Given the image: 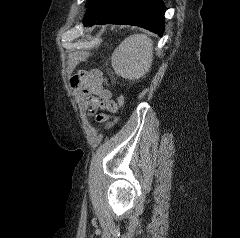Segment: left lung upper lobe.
Masks as SVG:
<instances>
[{"label":"left lung upper lobe","instance_id":"1","mask_svg":"<svg viewBox=\"0 0 240 238\" xmlns=\"http://www.w3.org/2000/svg\"><path fill=\"white\" fill-rule=\"evenodd\" d=\"M92 0H87V4H86V7L90 4Z\"/></svg>","mask_w":240,"mask_h":238}]
</instances>
